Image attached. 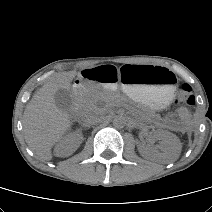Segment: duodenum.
<instances>
[{
    "label": "duodenum",
    "mask_w": 212,
    "mask_h": 212,
    "mask_svg": "<svg viewBox=\"0 0 212 212\" xmlns=\"http://www.w3.org/2000/svg\"><path fill=\"white\" fill-rule=\"evenodd\" d=\"M82 92H83V86H82V84H79L78 86H76L74 88V101H75L74 107H73L74 110H77L78 109L79 100L81 98Z\"/></svg>",
    "instance_id": "410a0bca"
}]
</instances>
